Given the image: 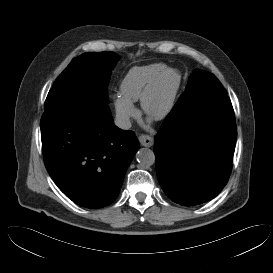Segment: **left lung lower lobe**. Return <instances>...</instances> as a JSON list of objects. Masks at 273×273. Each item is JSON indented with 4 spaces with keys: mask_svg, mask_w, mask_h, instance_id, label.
Segmentation results:
<instances>
[{
    "mask_svg": "<svg viewBox=\"0 0 273 273\" xmlns=\"http://www.w3.org/2000/svg\"><path fill=\"white\" fill-rule=\"evenodd\" d=\"M220 82L173 107L158 131L154 153L158 181L173 202L205 203L227 184L237 130L231 101Z\"/></svg>",
    "mask_w": 273,
    "mask_h": 273,
    "instance_id": "1",
    "label": "left lung lower lobe"
}]
</instances>
